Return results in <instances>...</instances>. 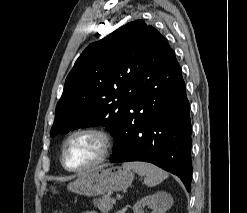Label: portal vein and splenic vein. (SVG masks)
<instances>
[{
	"label": "portal vein and splenic vein",
	"instance_id": "1",
	"mask_svg": "<svg viewBox=\"0 0 247 213\" xmlns=\"http://www.w3.org/2000/svg\"><path fill=\"white\" fill-rule=\"evenodd\" d=\"M112 203L115 204L116 203V199L112 198Z\"/></svg>",
	"mask_w": 247,
	"mask_h": 213
}]
</instances>
